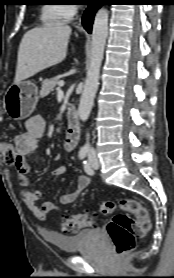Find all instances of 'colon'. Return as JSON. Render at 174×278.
<instances>
[{
    "mask_svg": "<svg viewBox=\"0 0 174 278\" xmlns=\"http://www.w3.org/2000/svg\"><path fill=\"white\" fill-rule=\"evenodd\" d=\"M0 153L9 164L16 159L15 146L4 140H0ZM118 206L125 213L116 214L107 225V232L114 245L117 254L122 255L134 249L136 239L145 235L150 228V220L147 210L143 205L130 198L121 199ZM115 209V203L104 201L100 205L103 214H110ZM97 220V214L90 210L70 214L63 218L65 230L77 231L92 226Z\"/></svg>",
    "mask_w": 174,
    "mask_h": 278,
    "instance_id": "obj_1",
    "label": "colon"
}]
</instances>
